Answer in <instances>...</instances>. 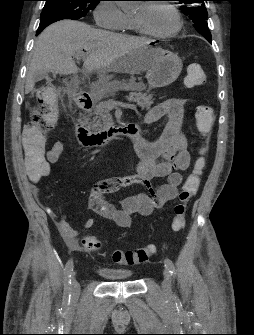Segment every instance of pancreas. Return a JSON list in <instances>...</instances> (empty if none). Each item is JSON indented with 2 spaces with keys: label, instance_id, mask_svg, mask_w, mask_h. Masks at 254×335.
<instances>
[{
  "label": "pancreas",
  "instance_id": "obj_1",
  "mask_svg": "<svg viewBox=\"0 0 254 335\" xmlns=\"http://www.w3.org/2000/svg\"><path fill=\"white\" fill-rule=\"evenodd\" d=\"M134 91L129 94V101L136 102L143 110L150 109L153 104V95L143 93L140 91V87L137 86L133 89ZM109 92L112 90H108ZM101 95H105L106 91L100 92ZM92 129L102 130L105 127L113 123L112 116L110 114V108L107 107L106 102H99L93 110Z\"/></svg>",
  "mask_w": 254,
  "mask_h": 335
}]
</instances>
